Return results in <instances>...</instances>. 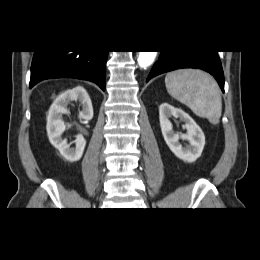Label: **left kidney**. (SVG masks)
I'll list each match as a JSON object with an SVG mask.
<instances>
[{
	"label": "left kidney",
	"mask_w": 260,
	"mask_h": 260,
	"mask_svg": "<svg viewBox=\"0 0 260 260\" xmlns=\"http://www.w3.org/2000/svg\"><path fill=\"white\" fill-rule=\"evenodd\" d=\"M180 118L185 123L187 132L178 134L173 132L170 117ZM159 119L162 135L169 149L181 160L192 163L196 161L203 151L205 136L201 128L182 109L173 107L168 103H162L159 107ZM187 140L188 145L183 147L179 139Z\"/></svg>",
	"instance_id": "left-kidney-1"
}]
</instances>
